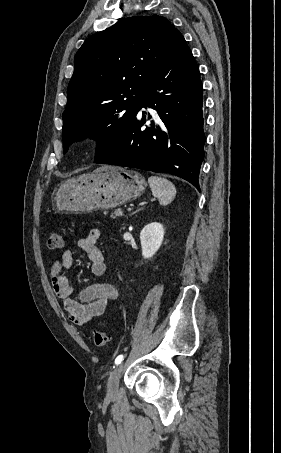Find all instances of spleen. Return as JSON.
Segmentation results:
<instances>
[{
    "label": "spleen",
    "instance_id": "3e777b00",
    "mask_svg": "<svg viewBox=\"0 0 281 453\" xmlns=\"http://www.w3.org/2000/svg\"><path fill=\"white\" fill-rule=\"evenodd\" d=\"M149 186L152 190L153 196L158 198L160 204H170L175 198L176 188L173 182L161 176H149Z\"/></svg>",
    "mask_w": 281,
    "mask_h": 453
}]
</instances>
